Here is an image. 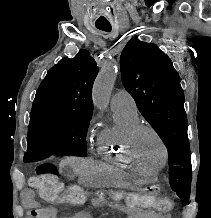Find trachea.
Returning <instances> with one entry per match:
<instances>
[{
    "mask_svg": "<svg viewBox=\"0 0 211 218\" xmlns=\"http://www.w3.org/2000/svg\"><path fill=\"white\" fill-rule=\"evenodd\" d=\"M99 30H103V32H110L111 31V26H97Z\"/></svg>",
    "mask_w": 211,
    "mask_h": 218,
    "instance_id": "1",
    "label": "trachea"
}]
</instances>
